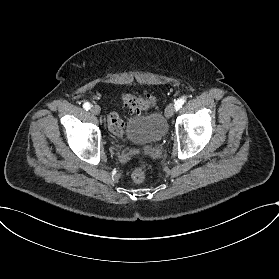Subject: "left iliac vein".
<instances>
[{"mask_svg": "<svg viewBox=\"0 0 279 279\" xmlns=\"http://www.w3.org/2000/svg\"><path fill=\"white\" fill-rule=\"evenodd\" d=\"M175 112V107L173 104H169L165 110V114L168 118H171Z\"/></svg>", "mask_w": 279, "mask_h": 279, "instance_id": "1", "label": "left iliac vein"}]
</instances>
